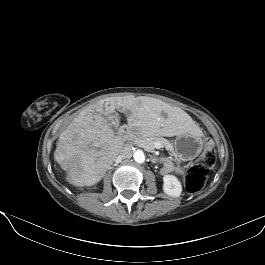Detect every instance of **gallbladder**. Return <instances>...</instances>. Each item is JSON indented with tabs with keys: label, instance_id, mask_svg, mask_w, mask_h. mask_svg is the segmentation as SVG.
<instances>
[{
	"label": "gallbladder",
	"instance_id": "obj_1",
	"mask_svg": "<svg viewBox=\"0 0 265 265\" xmlns=\"http://www.w3.org/2000/svg\"><path fill=\"white\" fill-rule=\"evenodd\" d=\"M110 120L112 122L113 128L115 130H117L118 126H119V116H118V114H114L113 116H111Z\"/></svg>",
	"mask_w": 265,
	"mask_h": 265
}]
</instances>
